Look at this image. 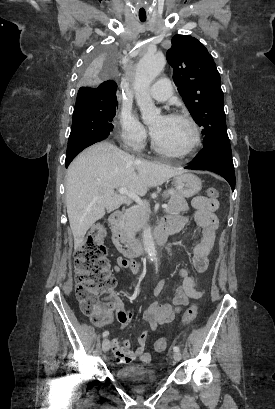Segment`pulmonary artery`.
Instances as JSON below:
<instances>
[{"label":"pulmonary artery","instance_id":"obj_1","mask_svg":"<svg viewBox=\"0 0 275 409\" xmlns=\"http://www.w3.org/2000/svg\"><path fill=\"white\" fill-rule=\"evenodd\" d=\"M150 90L154 99L163 101L174 93V86L170 85L169 79H158L157 85H152Z\"/></svg>","mask_w":275,"mask_h":409}]
</instances>
